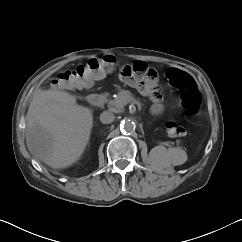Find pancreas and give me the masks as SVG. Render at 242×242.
<instances>
[{"label": "pancreas", "instance_id": "obj_1", "mask_svg": "<svg viewBox=\"0 0 242 242\" xmlns=\"http://www.w3.org/2000/svg\"><path fill=\"white\" fill-rule=\"evenodd\" d=\"M131 101H134L131 92L128 90H122L117 94L115 99L109 100L108 106L115 112H121L124 106Z\"/></svg>", "mask_w": 242, "mask_h": 242}]
</instances>
